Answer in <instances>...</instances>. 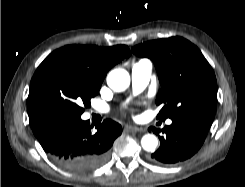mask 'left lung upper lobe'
Wrapping results in <instances>:
<instances>
[{
    "label": "left lung upper lobe",
    "instance_id": "5c2ea615",
    "mask_svg": "<svg viewBox=\"0 0 245 187\" xmlns=\"http://www.w3.org/2000/svg\"><path fill=\"white\" fill-rule=\"evenodd\" d=\"M132 51L155 64L162 87L156 100V104L162 106L157 119H213L217 103L216 77L194 44L181 37H171L145 42Z\"/></svg>",
    "mask_w": 245,
    "mask_h": 187
}]
</instances>
